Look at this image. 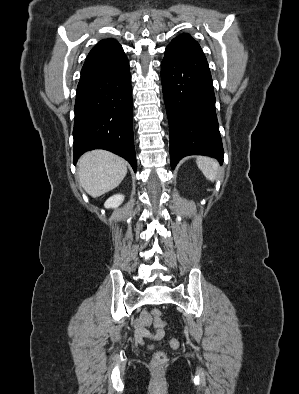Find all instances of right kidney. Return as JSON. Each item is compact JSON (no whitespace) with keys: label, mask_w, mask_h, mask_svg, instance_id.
I'll return each mask as SVG.
<instances>
[{"label":"right kidney","mask_w":299,"mask_h":394,"mask_svg":"<svg viewBox=\"0 0 299 394\" xmlns=\"http://www.w3.org/2000/svg\"><path fill=\"white\" fill-rule=\"evenodd\" d=\"M124 201V196L116 194L108 198L104 204L105 208H117Z\"/></svg>","instance_id":"1"}]
</instances>
